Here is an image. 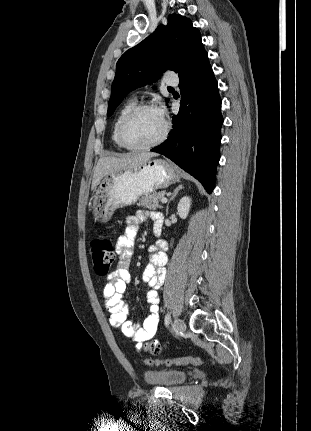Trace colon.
Here are the masks:
<instances>
[{
  "mask_svg": "<svg viewBox=\"0 0 311 431\" xmlns=\"http://www.w3.org/2000/svg\"><path fill=\"white\" fill-rule=\"evenodd\" d=\"M90 253L93 262L94 271L100 275H106L114 262L115 253L112 242L106 237H96L91 241ZM151 352H157L159 345L157 343H151L147 347ZM147 365H166V366H180V365H195L199 366L203 364V360L200 357H182L175 359H146Z\"/></svg>",
  "mask_w": 311,
  "mask_h": 431,
  "instance_id": "1",
  "label": "colon"
}]
</instances>
